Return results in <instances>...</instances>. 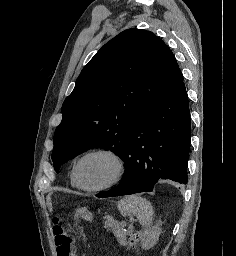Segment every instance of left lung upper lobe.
<instances>
[{"mask_svg":"<svg viewBox=\"0 0 236 256\" xmlns=\"http://www.w3.org/2000/svg\"><path fill=\"white\" fill-rule=\"evenodd\" d=\"M182 80L173 53L152 32L128 29L111 39L83 68L62 105L55 170L91 148L122 159L137 120Z\"/></svg>","mask_w":236,"mask_h":256,"instance_id":"5c2ea615","label":"left lung upper lobe"}]
</instances>
